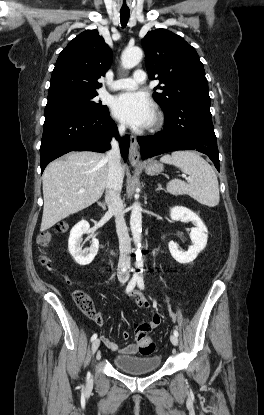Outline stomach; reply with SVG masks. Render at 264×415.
I'll list each match as a JSON object with an SVG mask.
<instances>
[{
  "instance_id": "1",
  "label": "stomach",
  "mask_w": 264,
  "mask_h": 415,
  "mask_svg": "<svg viewBox=\"0 0 264 415\" xmlns=\"http://www.w3.org/2000/svg\"><path fill=\"white\" fill-rule=\"evenodd\" d=\"M146 174L148 175H156L163 171L164 167L163 164L159 163L156 160H150L143 166Z\"/></svg>"
}]
</instances>
